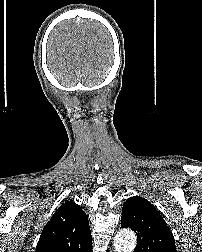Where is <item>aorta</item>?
I'll list each match as a JSON object with an SVG mask.
<instances>
[{"instance_id": "aorta-1", "label": "aorta", "mask_w": 202, "mask_h": 252, "mask_svg": "<svg viewBox=\"0 0 202 252\" xmlns=\"http://www.w3.org/2000/svg\"><path fill=\"white\" fill-rule=\"evenodd\" d=\"M137 243L135 233L129 229L120 230L114 237V246L117 252H133Z\"/></svg>"}]
</instances>
